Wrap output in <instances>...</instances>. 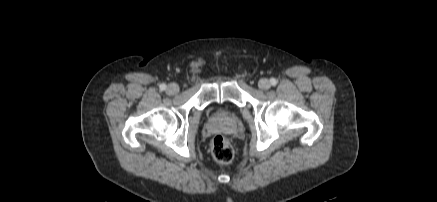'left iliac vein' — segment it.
I'll list each match as a JSON object with an SVG mask.
<instances>
[{
	"label": "left iliac vein",
	"instance_id": "4c4485c4",
	"mask_svg": "<svg viewBox=\"0 0 437 202\" xmlns=\"http://www.w3.org/2000/svg\"><path fill=\"white\" fill-rule=\"evenodd\" d=\"M258 86L261 90H268L271 86L269 80L267 79H261L258 83Z\"/></svg>",
	"mask_w": 437,
	"mask_h": 202
}]
</instances>
